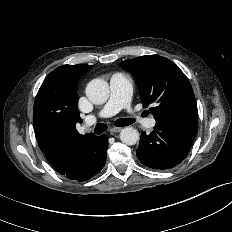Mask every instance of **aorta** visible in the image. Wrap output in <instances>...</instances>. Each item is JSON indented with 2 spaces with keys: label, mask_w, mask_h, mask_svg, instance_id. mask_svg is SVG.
I'll use <instances>...</instances> for the list:
<instances>
[{
  "label": "aorta",
  "mask_w": 232,
  "mask_h": 232,
  "mask_svg": "<svg viewBox=\"0 0 232 232\" xmlns=\"http://www.w3.org/2000/svg\"><path fill=\"white\" fill-rule=\"evenodd\" d=\"M108 83L103 79H93L86 87V96L93 104H104L109 98ZM120 140L126 145H135L139 140V133L133 127H125L120 132Z\"/></svg>",
  "instance_id": "aorta-1"
}]
</instances>
